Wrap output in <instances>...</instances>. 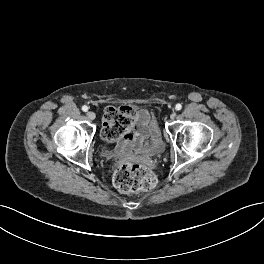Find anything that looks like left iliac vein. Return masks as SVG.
Returning <instances> with one entry per match:
<instances>
[{"mask_svg":"<svg viewBox=\"0 0 264 264\" xmlns=\"http://www.w3.org/2000/svg\"><path fill=\"white\" fill-rule=\"evenodd\" d=\"M176 115H177L176 112H173V113H171L170 118L173 120L176 118Z\"/></svg>","mask_w":264,"mask_h":264,"instance_id":"4c4485c4","label":"left iliac vein"}]
</instances>
